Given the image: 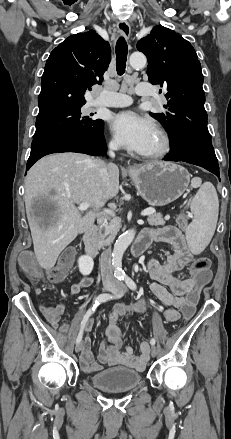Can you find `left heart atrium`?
<instances>
[{"mask_svg":"<svg viewBox=\"0 0 231 439\" xmlns=\"http://www.w3.org/2000/svg\"><path fill=\"white\" fill-rule=\"evenodd\" d=\"M111 130L125 148L144 153L156 128L152 121L132 111H124L111 119Z\"/></svg>","mask_w":231,"mask_h":439,"instance_id":"left-heart-atrium-1","label":"left heart atrium"}]
</instances>
